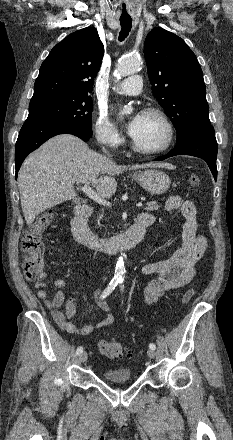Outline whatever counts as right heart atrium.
I'll list each match as a JSON object with an SVG mask.
<instances>
[{
	"label": "right heart atrium",
	"instance_id": "obj_1",
	"mask_svg": "<svg viewBox=\"0 0 233 440\" xmlns=\"http://www.w3.org/2000/svg\"><path fill=\"white\" fill-rule=\"evenodd\" d=\"M93 130L97 141L102 146L116 149L123 142L120 131L104 112H99L97 114Z\"/></svg>",
	"mask_w": 233,
	"mask_h": 440
}]
</instances>
